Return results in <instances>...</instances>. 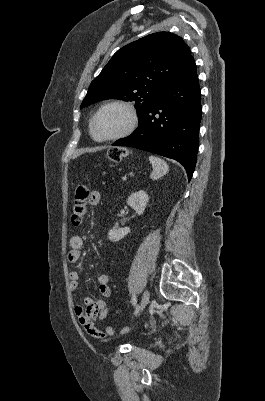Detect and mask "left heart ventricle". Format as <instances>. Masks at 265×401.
I'll use <instances>...</instances> for the list:
<instances>
[{"label":"left heart ventricle","mask_w":265,"mask_h":401,"mask_svg":"<svg viewBox=\"0 0 265 401\" xmlns=\"http://www.w3.org/2000/svg\"><path fill=\"white\" fill-rule=\"evenodd\" d=\"M127 113L118 107L104 110L96 119L93 127L94 135L106 138L116 135L125 125Z\"/></svg>","instance_id":"b2bd125f"}]
</instances>
